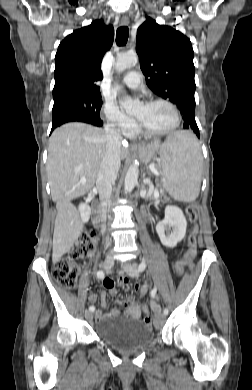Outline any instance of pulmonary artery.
Returning a JSON list of instances; mask_svg holds the SVG:
<instances>
[{"label": "pulmonary artery", "instance_id": "e3ab8cb5", "mask_svg": "<svg viewBox=\"0 0 252 390\" xmlns=\"http://www.w3.org/2000/svg\"><path fill=\"white\" fill-rule=\"evenodd\" d=\"M122 82L128 88L136 89L141 84V75L137 71H131L123 77Z\"/></svg>", "mask_w": 252, "mask_h": 390}]
</instances>
